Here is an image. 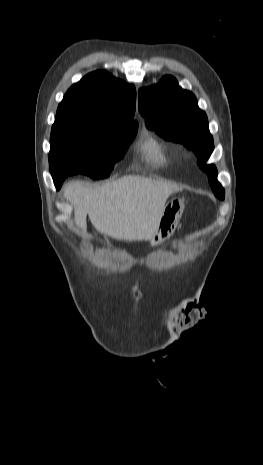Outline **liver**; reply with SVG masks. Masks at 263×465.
Wrapping results in <instances>:
<instances>
[{
    "instance_id": "obj_1",
    "label": "liver",
    "mask_w": 263,
    "mask_h": 465,
    "mask_svg": "<svg viewBox=\"0 0 263 465\" xmlns=\"http://www.w3.org/2000/svg\"><path fill=\"white\" fill-rule=\"evenodd\" d=\"M182 188L138 175H128L90 189L80 181L64 187L74 207L76 225L86 233L87 214L95 229L117 240L148 241L154 236L168 197Z\"/></svg>"
}]
</instances>
